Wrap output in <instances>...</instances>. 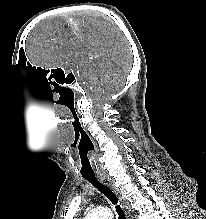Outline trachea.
<instances>
[{"label":"trachea","instance_id":"obj_1","mask_svg":"<svg viewBox=\"0 0 206 219\" xmlns=\"http://www.w3.org/2000/svg\"><path fill=\"white\" fill-rule=\"evenodd\" d=\"M83 178L89 181L102 194H104L113 205H115V209L118 214V219H127L122 208L120 207V205H118V197L107 185L100 182L98 178L95 176V174L83 175Z\"/></svg>","mask_w":206,"mask_h":219}]
</instances>
